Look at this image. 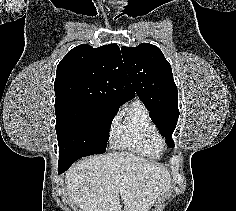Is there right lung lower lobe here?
<instances>
[{"label":"right lung lower lobe","instance_id":"98d812e1","mask_svg":"<svg viewBox=\"0 0 236 211\" xmlns=\"http://www.w3.org/2000/svg\"><path fill=\"white\" fill-rule=\"evenodd\" d=\"M93 155L86 152H77V153H70L64 156H59V162H58V173L61 174L64 171H66L73 162L78 160L81 157Z\"/></svg>","mask_w":236,"mask_h":211}]
</instances>
